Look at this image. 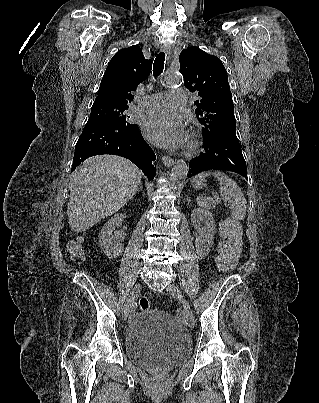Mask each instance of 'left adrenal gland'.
<instances>
[{"label":"left adrenal gland","instance_id":"left-adrenal-gland-1","mask_svg":"<svg viewBox=\"0 0 319 403\" xmlns=\"http://www.w3.org/2000/svg\"><path fill=\"white\" fill-rule=\"evenodd\" d=\"M187 201L190 202V197L187 198Z\"/></svg>","mask_w":319,"mask_h":403}]
</instances>
